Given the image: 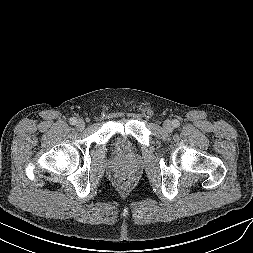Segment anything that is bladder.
Instances as JSON below:
<instances>
[{"label": "bladder", "mask_w": 253, "mask_h": 253, "mask_svg": "<svg viewBox=\"0 0 253 253\" xmlns=\"http://www.w3.org/2000/svg\"><path fill=\"white\" fill-rule=\"evenodd\" d=\"M116 144L119 148H122V146H124L126 144V139L123 137H118L116 139Z\"/></svg>", "instance_id": "1"}]
</instances>
